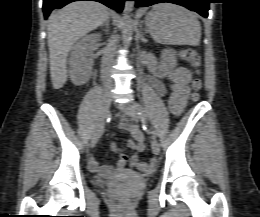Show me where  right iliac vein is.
Instances as JSON below:
<instances>
[{
	"mask_svg": "<svg viewBox=\"0 0 260 217\" xmlns=\"http://www.w3.org/2000/svg\"><path fill=\"white\" fill-rule=\"evenodd\" d=\"M110 106H111V96L107 94L102 99L100 118L97 123L96 130L94 131V134L91 138V143H90L91 147H94L97 144L101 136L105 121L109 114Z\"/></svg>",
	"mask_w": 260,
	"mask_h": 217,
	"instance_id": "right-iliac-vein-1",
	"label": "right iliac vein"
}]
</instances>
